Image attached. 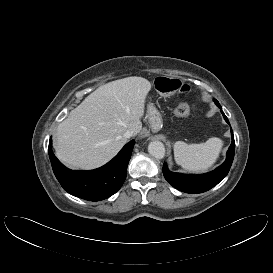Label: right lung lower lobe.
<instances>
[{"mask_svg": "<svg viewBox=\"0 0 273 273\" xmlns=\"http://www.w3.org/2000/svg\"><path fill=\"white\" fill-rule=\"evenodd\" d=\"M51 144L50 139L48 153L54 174L61 186L76 197L100 201L116 193L123 185L135 140L126 144L106 165L91 171H73L66 168L53 154Z\"/></svg>", "mask_w": 273, "mask_h": 273, "instance_id": "1", "label": "right lung lower lobe"}]
</instances>
